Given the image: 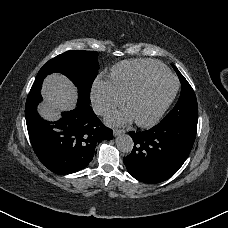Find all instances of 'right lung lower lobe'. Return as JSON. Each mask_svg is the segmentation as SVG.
Returning a JSON list of instances; mask_svg holds the SVG:
<instances>
[{"instance_id":"1","label":"right lung lower lobe","mask_w":228,"mask_h":228,"mask_svg":"<svg viewBox=\"0 0 228 228\" xmlns=\"http://www.w3.org/2000/svg\"><path fill=\"white\" fill-rule=\"evenodd\" d=\"M41 100L40 90L31 89L25 117L33 150L50 171L61 175L83 169L92 160L96 144L113 138L112 130L102 124L90 105L77 102L60 120L49 122L37 112Z\"/></svg>"}]
</instances>
